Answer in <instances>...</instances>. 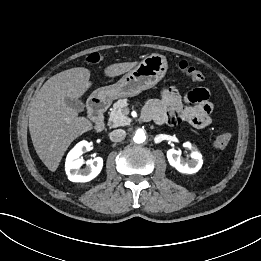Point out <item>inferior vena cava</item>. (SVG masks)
<instances>
[{"mask_svg":"<svg viewBox=\"0 0 261 261\" xmlns=\"http://www.w3.org/2000/svg\"><path fill=\"white\" fill-rule=\"evenodd\" d=\"M112 142H121L126 137V132L123 129H116L109 133Z\"/></svg>","mask_w":261,"mask_h":261,"instance_id":"inferior-vena-cava-1","label":"inferior vena cava"}]
</instances>
